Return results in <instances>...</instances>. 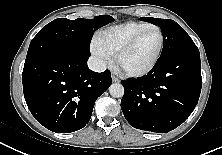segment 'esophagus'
<instances>
[{
  "label": "esophagus",
  "instance_id": "1",
  "mask_svg": "<svg viewBox=\"0 0 222 155\" xmlns=\"http://www.w3.org/2000/svg\"><path fill=\"white\" fill-rule=\"evenodd\" d=\"M111 78L113 82H119V79L116 76L111 75Z\"/></svg>",
  "mask_w": 222,
  "mask_h": 155
}]
</instances>
